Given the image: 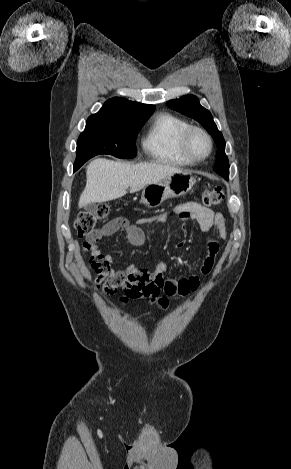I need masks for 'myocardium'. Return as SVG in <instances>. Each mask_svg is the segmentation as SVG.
<instances>
[{"label":"myocardium","instance_id":"1","mask_svg":"<svg viewBox=\"0 0 291 469\" xmlns=\"http://www.w3.org/2000/svg\"><path fill=\"white\" fill-rule=\"evenodd\" d=\"M195 132L201 133L207 140L209 148L204 156L198 157L194 155L190 149V140ZM180 148L183 155L194 163L202 162L207 159L213 151V140L211 135L202 127L190 125L183 131L180 137Z\"/></svg>","mask_w":291,"mask_h":469}]
</instances>
